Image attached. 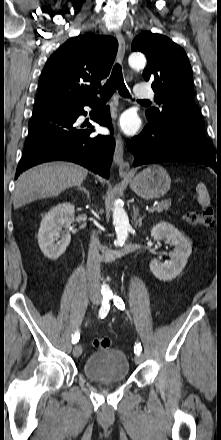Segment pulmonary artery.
Wrapping results in <instances>:
<instances>
[{"label": "pulmonary artery", "mask_w": 221, "mask_h": 440, "mask_svg": "<svg viewBox=\"0 0 221 440\" xmlns=\"http://www.w3.org/2000/svg\"><path fill=\"white\" fill-rule=\"evenodd\" d=\"M135 95L141 99H151L154 97V92L152 89L145 87L143 84H137L135 86Z\"/></svg>", "instance_id": "1"}]
</instances>
